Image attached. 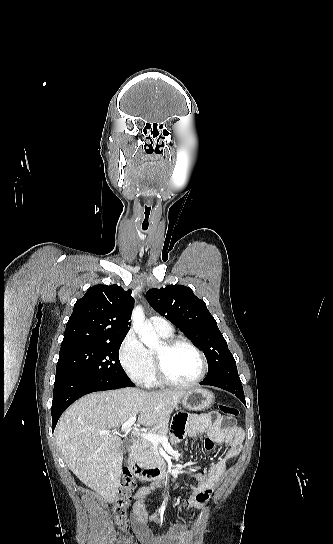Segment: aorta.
I'll return each mask as SVG.
<instances>
[{
	"label": "aorta",
	"mask_w": 333,
	"mask_h": 544,
	"mask_svg": "<svg viewBox=\"0 0 333 544\" xmlns=\"http://www.w3.org/2000/svg\"><path fill=\"white\" fill-rule=\"evenodd\" d=\"M144 312L140 306H136L132 312V322L135 332L140 340L149 348L157 349L161 346L159 336L153 329H148L144 323Z\"/></svg>",
	"instance_id": "obj_1"
}]
</instances>
